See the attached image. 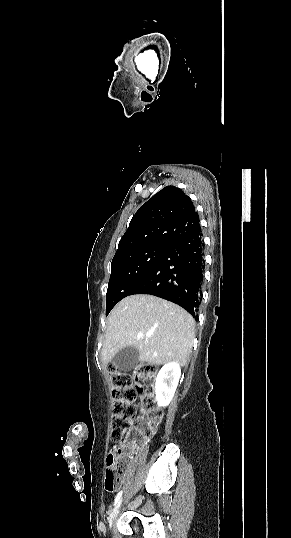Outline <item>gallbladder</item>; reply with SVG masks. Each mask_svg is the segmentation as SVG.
Segmentation results:
<instances>
[{"label": "gallbladder", "mask_w": 291, "mask_h": 538, "mask_svg": "<svg viewBox=\"0 0 291 538\" xmlns=\"http://www.w3.org/2000/svg\"><path fill=\"white\" fill-rule=\"evenodd\" d=\"M112 363L118 370L130 371L139 363V352L132 346L126 347L115 354Z\"/></svg>", "instance_id": "bac80fb5"}]
</instances>
